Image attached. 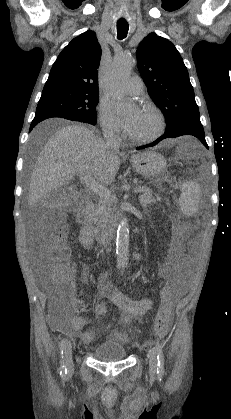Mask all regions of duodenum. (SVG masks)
Segmentation results:
<instances>
[{
    "instance_id": "duodenum-1",
    "label": "duodenum",
    "mask_w": 231,
    "mask_h": 419,
    "mask_svg": "<svg viewBox=\"0 0 231 419\" xmlns=\"http://www.w3.org/2000/svg\"><path fill=\"white\" fill-rule=\"evenodd\" d=\"M91 208V199L89 197H85L76 212L77 223L82 226L84 230L90 232L92 236L95 234L99 241L109 239L117 231L118 226L121 223L122 216L119 215L115 217L107 224L97 225L91 217Z\"/></svg>"
}]
</instances>
